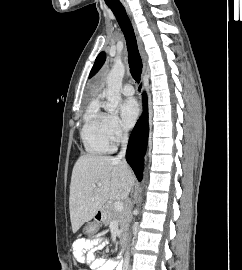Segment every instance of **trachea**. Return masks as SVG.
I'll use <instances>...</instances> for the list:
<instances>
[{
	"instance_id": "1",
	"label": "trachea",
	"mask_w": 242,
	"mask_h": 270,
	"mask_svg": "<svg viewBox=\"0 0 242 270\" xmlns=\"http://www.w3.org/2000/svg\"><path fill=\"white\" fill-rule=\"evenodd\" d=\"M114 13L125 36L128 49V62L132 77L139 82L142 73V60L138 52L135 33L123 5L108 6Z\"/></svg>"
}]
</instances>
